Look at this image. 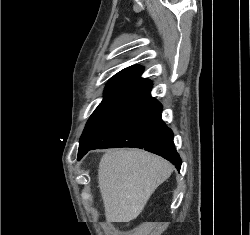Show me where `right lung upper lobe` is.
Instances as JSON below:
<instances>
[{
  "mask_svg": "<svg viewBox=\"0 0 250 235\" xmlns=\"http://www.w3.org/2000/svg\"><path fill=\"white\" fill-rule=\"evenodd\" d=\"M143 67L130 66L113 76L106 85L105 97L131 98L144 90L151 83L147 78H141Z\"/></svg>",
  "mask_w": 250,
  "mask_h": 235,
  "instance_id": "cb5924a9",
  "label": "right lung upper lobe"
}]
</instances>
